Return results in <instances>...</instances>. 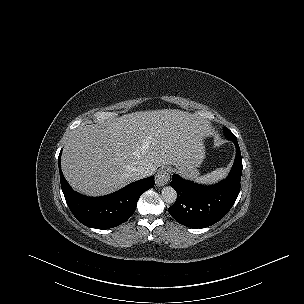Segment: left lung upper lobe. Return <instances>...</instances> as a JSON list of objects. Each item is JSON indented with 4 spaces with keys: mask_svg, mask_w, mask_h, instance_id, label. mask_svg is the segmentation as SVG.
<instances>
[{
    "mask_svg": "<svg viewBox=\"0 0 304 304\" xmlns=\"http://www.w3.org/2000/svg\"><path fill=\"white\" fill-rule=\"evenodd\" d=\"M224 132L227 138H229L230 140H237L236 136L228 129V128H224Z\"/></svg>",
    "mask_w": 304,
    "mask_h": 304,
    "instance_id": "left-lung-upper-lobe-1",
    "label": "left lung upper lobe"
}]
</instances>
